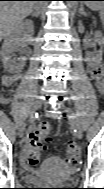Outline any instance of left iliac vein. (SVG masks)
<instances>
[{
  "label": "left iliac vein",
  "mask_w": 104,
  "mask_h": 189,
  "mask_svg": "<svg viewBox=\"0 0 104 189\" xmlns=\"http://www.w3.org/2000/svg\"><path fill=\"white\" fill-rule=\"evenodd\" d=\"M61 108L67 113L70 123L75 130L77 138L81 139L82 138V127H81L80 121L78 120L76 114L74 113V111L72 109L65 107L64 105H61Z\"/></svg>",
  "instance_id": "obj_1"
}]
</instances>
